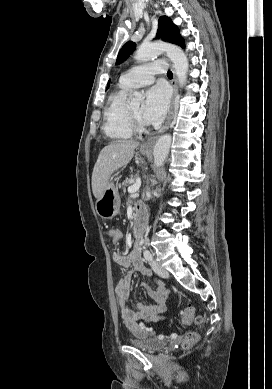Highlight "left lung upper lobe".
<instances>
[{
    "label": "left lung upper lobe",
    "instance_id": "left-lung-upper-lobe-1",
    "mask_svg": "<svg viewBox=\"0 0 272 389\" xmlns=\"http://www.w3.org/2000/svg\"><path fill=\"white\" fill-rule=\"evenodd\" d=\"M157 38L185 47L184 39L180 35L178 27L167 16H161L158 21ZM135 43L127 42L120 50L116 63L126 60L135 49Z\"/></svg>",
    "mask_w": 272,
    "mask_h": 389
}]
</instances>
